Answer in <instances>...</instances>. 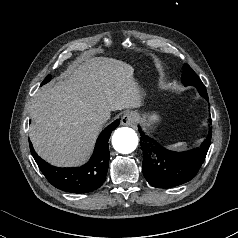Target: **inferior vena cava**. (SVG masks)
<instances>
[{
    "label": "inferior vena cava",
    "mask_w": 238,
    "mask_h": 238,
    "mask_svg": "<svg viewBox=\"0 0 238 238\" xmlns=\"http://www.w3.org/2000/svg\"><path fill=\"white\" fill-rule=\"evenodd\" d=\"M108 119H109V117L100 116L99 118H97V123H98L99 125H102V124H104Z\"/></svg>",
    "instance_id": "602c4592"
}]
</instances>
